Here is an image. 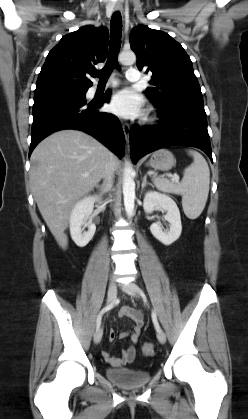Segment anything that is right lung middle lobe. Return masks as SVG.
I'll return each instance as SVG.
<instances>
[{"instance_id": "1", "label": "right lung middle lobe", "mask_w": 248, "mask_h": 419, "mask_svg": "<svg viewBox=\"0 0 248 419\" xmlns=\"http://www.w3.org/2000/svg\"><path fill=\"white\" fill-rule=\"evenodd\" d=\"M87 90H67V91H61L57 93H53L50 95H64V96H71V97H81L85 98ZM47 96V95H45ZM41 96H34V98H38Z\"/></svg>"}]
</instances>
